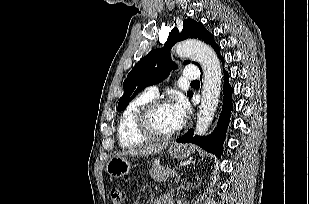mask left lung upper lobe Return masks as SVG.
<instances>
[{
	"label": "left lung upper lobe",
	"instance_id": "left-lung-upper-lobe-1",
	"mask_svg": "<svg viewBox=\"0 0 309 204\" xmlns=\"http://www.w3.org/2000/svg\"><path fill=\"white\" fill-rule=\"evenodd\" d=\"M187 38H198L213 47L216 52L219 50L218 45L214 41V36L207 31L202 23H198L190 18L185 19L181 33L175 27L169 33L164 49L150 51L130 71L124 81V94L119 100L118 111H122L142 89L161 82L169 75L174 66L170 59V49L177 41ZM189 62L187 60L184 64ZM193 63L200 67L198 63ZM187 95L192 97V92H187Z\"/></svg>",
	"mask_w": 309,
	"mask_h": 204
}]
</instances>
